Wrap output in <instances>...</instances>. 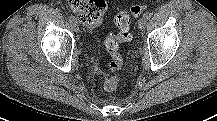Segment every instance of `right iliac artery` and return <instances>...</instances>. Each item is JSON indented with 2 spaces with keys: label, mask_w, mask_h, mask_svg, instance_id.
<instances>
[{
  "label": "right iliac artery",
  "mask_w": 217,
  "mask_h": 121,
  "mask_svg": "<svg viewBox=\"0 0 217 121\" xmlns=\"http://www.w3.org/2000/svg\"><path fill=\"white\" fill-rule=\"evenodd\" d=\"M68 19H69V21H70L71 23L74 22V21H76L75 18H74V16H72V15H70V16L68 17Z\"/></svg>",
  "instance_id": "obj_1"
}]
</instances>
